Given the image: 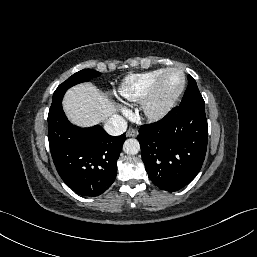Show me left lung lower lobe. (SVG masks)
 <instances>
[{
    "label": "left lung lower lobe",
    "instance_id": "1",
    "mask_svg": "<svg viewBox=\"0 0 257 257\" xmlns=\"http://www.w3.org/2000/svg\"><path fill=\"white\" fill-rule=\"evenodd\" d=\"M205 107L173 108L164 118L142 125L137 137L150 180L174 192L199 173L207 149Z\"/></svg>",
    "mask_w": 257,
    "mask_h": 257
}]
</instances>
